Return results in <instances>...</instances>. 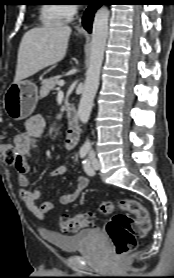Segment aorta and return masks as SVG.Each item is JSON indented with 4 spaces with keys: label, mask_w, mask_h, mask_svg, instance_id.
Here are the masks:
<instances>
[{
    "label": "aorta",
    "mask_w": 174,
    "mask_h": 278,
    "mask_svg": "<svg viewBox=\"0 0 174 278\" xmlns=\"http://www.w3.org/2000/svg\"><path fill=\"white\" fill-rule=\"evenodd\" d=\"M108 21L109 10L107 7L102 6L94 17L89 66L86 71L84 88L78 106V117L83 124H86L89 120L94 97L99 86L100 72L108 37ZM90 146L91 143L86 141L83 148L89 149Z\"/></svg>",
    "instance_id": "obj_1"
}]
</instances>
